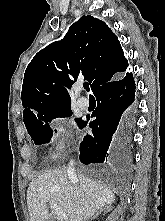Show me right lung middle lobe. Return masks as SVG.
Segmentation results:
<instances>
[{
    "instance_id": "dd1d6c3e",
    "label": "right lung middle lobe",
    "mask_w": 165,
    "mask_h": 221,
    "mask_svg": "<svg viewBox=\"0 0 165 221\" xmlns=\"http://www.w3.org/2000/svg\"><path fill=\"white\" fill-rule=\"evenodd\" d=\"M72 114L70 107L58 109L45 114L40 115L34 121L26 123V128L29 135L32 137L36 145L48 143L53 135V130L49 126V122L57 117H69ZM76 122L79 126L84 121L78 118Z\"/></svg>"
}]
</instances>
